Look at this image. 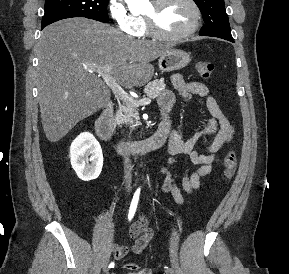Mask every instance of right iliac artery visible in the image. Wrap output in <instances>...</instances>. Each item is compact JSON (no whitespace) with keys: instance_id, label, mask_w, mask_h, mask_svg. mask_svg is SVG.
Returning <instances> with one entry per match:
<instances>
[{"instance_id":"1","label":"right iliac artery","mask_w":289,"mask_h":274,"mask_svg":"<svg viewBox=\"0 0 289 274\" xmlns=\"http://www.w3.org/2000/svg\"><path fill=\"white\" fill-rule=\"evenodd\" d=\"M139 195H140V189H138L132 199L131 205H130V209H129V213H128V219L129 221L133 218L137 205H138V201H139ZM108 268H114V262H111L109 264Z\"/></svg>"}]
</instances>
